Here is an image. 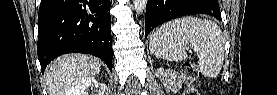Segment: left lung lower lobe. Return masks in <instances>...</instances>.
<instances>
[{"label":"left lung lower lobe","instance_id":"0a47b994","mask_svg":"<svg viewBox=\"0 0 277 95\" xmlns=\"http://www.w3.org/2000/svg\"><path fill=\"white\" fill-rule=\"evenodd\" d=\"M200 13L209 14L221 20L217 0H148L145 16V37L155 27L168 20Z\"/></svg>","mask_w":277,"mask_h":95}]
</instances>
